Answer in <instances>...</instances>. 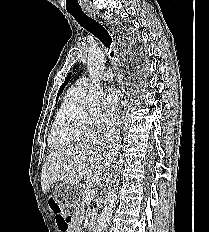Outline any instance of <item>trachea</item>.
Instances as JSON below:
<instances>
[{
	"label": "trachea",
	"instance_id": "trachea-1",
	"mask_svg": "<svg viewBox=\"0 0 209 232\" xmlns=\"http://www.w3.org/2000/svg\"><path fill=\"white\" fill-rule=\"evenodd\" d=\"M70 14L75 18L80 26L85 28L88 32L92 33L102 42V44L106 48L110 49L112 38L108 31L102 25L87 16L82 10L70 12ZM110 55L111 57H113L114 51H111Z\"/></svg>",
	"mask_w": 209,
	"mask_h": 232
}]
</instances>
